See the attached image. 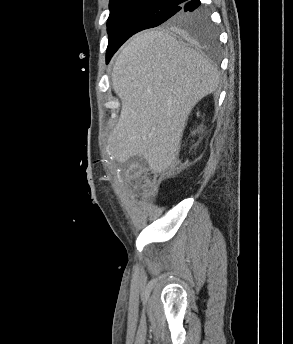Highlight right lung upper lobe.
<instances>
[{
  "mask_svg": "<svg viewBox=\"0 0 293 344\" xmlns=\"http://www.w3.org/2000/svg\"><path fill=\"white\" fill-rule=\"evenodd\" d=\"M148 1L164 2V3L182 5L186 0H110V4H119V3H127V2H148ZM164 25L166 27L172 28L168 25V23H166Z\"/></svg>",
  "mask_w": 293,
  "mask_h": 344,
  "instance_id": "obj_1",
  "label": "right lung upper lobe"
}]
</instances>
